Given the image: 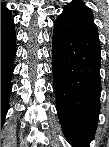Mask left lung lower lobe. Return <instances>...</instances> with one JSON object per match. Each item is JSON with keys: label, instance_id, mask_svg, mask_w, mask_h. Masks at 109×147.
<instances>
[{"label": "left lung lower lobe", "instance_id": "left-lung-lower-lobe-1", "mask_svg": "<svg viewBox=\"0 0 109 147\" xmlns=\"http://www.w3.org/2000/svg\"><path fill=\"white\" fill-rule=\"evenodd\" d=\"M56 108L68 142L88 147L100 112V42L93 14L67 4L58 16L52 41Z\"/></svg>", "mask_w": 109, "mask_h": 147}]
</instances>
